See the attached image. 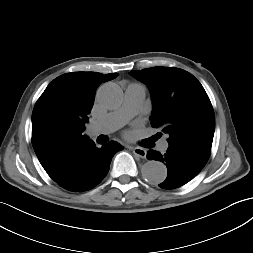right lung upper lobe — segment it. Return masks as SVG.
Returning a JSON list of instances; mask_svg holds the SVG:
<instances>
[{
  "mask_svg": "<svg viewBox=\"0 0 253 253\" xmlns=\"http://www.w3.org/2000/svg\"><path fill=\"white\" fill-rule=\"evenodd\" d=\"M118 76L97 72L63 74L54 79L32 113V145L48 175L58 184L70 179L76 157L94 142L83 135L97 87Z\"/></svg>",
  "mask_w": 253,
  "mask_h": 253,
  "instance_id": "1",
  "label": "right lung upper lobe"
}]
</instances>
